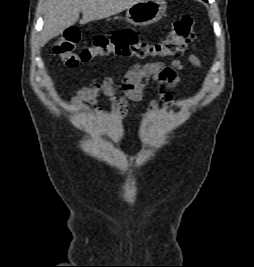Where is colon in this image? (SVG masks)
Returning a JSON list of instances; mask_svg holds the SVG:
<instances>
[{"label": "colon", "instance_id": "1", "mask_svg": "<svg viewBox=\"0 0 254 267\" xmlns=\"http://www.w3.org/2000/svg\"><path fill=\"white\" fill-rule=\"evenodd\" d=\"M194 38L193 19L185 15L172 23L164 39L158 43H145L131 32L120 31L110 37H99L78 51L80 33L76 28H68L54 46V52L65 66L73 68L111 54L137 58L179 56Z\"/></svg>", "mask_w": 254, "mask_h": 267}]
</instances>
